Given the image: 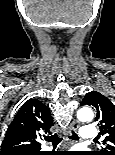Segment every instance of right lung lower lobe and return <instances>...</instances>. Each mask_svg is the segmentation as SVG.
<instances>
[{
	"label": "right lung lower lobe",
	"instance_id": "98d812e1",
	"mask_svg": "<svg viewBox=\"0 0 115 155\" xmlns=\"http://www.w3.org/2000/svg\"><path fill=\"white\" fill-rule=\"evenodd\" d=\"M19 155H44V154L40 152V149H39V150H34V151H27Z\"/></svg>",
	"mask_w": 115,
	"mask_h": 155
}]
</instances>
